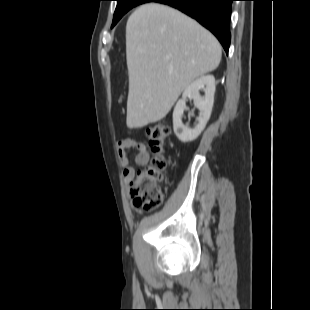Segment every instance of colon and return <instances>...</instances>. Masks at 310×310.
Here are the masks:
<instances>
[{
  "mask_svg": "<svg viewBox=\"0 0 310 310\" xmlns=\"http://www.w3.org/2000/svg\"><path fill=\"white\" fill-rule=\"evenodd\" d=\"M170 131V127L164 123L154 124L147 129L148 145L153 157L149 164L135 172L129 182L134 206L146 211L158 208L163 201L161 182L167 165L163 148Z\"/></svg>",
  "mask_w": 310,
  "mask_h": 310,
  "instance_id": "5ec220e1",
  "label": "colon"
}]
</instances>
